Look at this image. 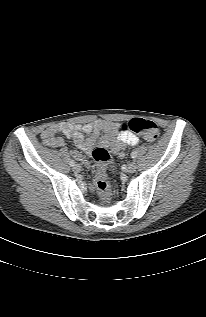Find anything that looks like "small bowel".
Listing matches in <instances>:
<instances>
[{
  "instance_id": "small-bowel-1",
  "label": "small bowel",
  "mask_w": 206,
  "mask_h": 317,
  "mask_svg": "<svg viewBox=\"0 0 206 317\" xmlns=\"http://www.w3.org/2000/svg\"><path fill=\"white\" fill-rule=\"evenodd\" d=\"M119 124L105 120H96L87 124H68L62 126H51L41 133L43 142L50 147H63L64 140L58 137L62 133L72 139L74 144L87 154H91L95 147L109 148L111 153L117 157H123L124 148L135 146L139 143V137L130 131H118ZM71 155L88 166L89 162L81 153L71 151Z\"/></svg>"
}]
</instances>
